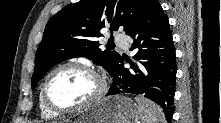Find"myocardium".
I'll list each match as a JSON object with an SVG mask.
<instances>
[{
  "label": "myocardium",
  "instance_id": "obj_1",
  "mask_svg": "<svg viewBox=\"0 0 221 123\" xmlns=\"http://www.w3.org/2000/svg\"><path fill=\"white\" fill-rule=\"evenodd\" d=\"M65 68H78L93 75L99 82V87H98L96 94L89 100L83 103H80L78 105H74V106L61 107L53 103L48 95V86H49L50 80L58 71L65 69ZM106 92H107V82L104 76L97 69H95L91 64L86 63V62H80V61H68V62H64L62 64L57 65L46 75L41 86V97H42L44 104L46 105L48 109L58 114L71 113V112H76V111L90 108L96 105L98 102H100L104 98Z\"/></svg>",
  "mask_w": 221,
  "mask_h": 123
}]
</instances>
